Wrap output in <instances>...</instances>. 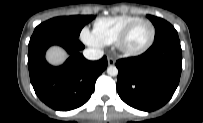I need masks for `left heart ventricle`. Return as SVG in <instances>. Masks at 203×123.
Returning <instances> with one entry per match:
<instances>
[{
  "instance_id": "b2bd125f",
  "label": "left heart ventricle",
  "mask_w": 203,
  "mask_h": 123,
  "mask_svg": "<svg viewBox=\"0 0 203 123\" xmlns=\"http://www.w3.org/2000/svg\"><path fill=\"white\" fill-rule=\"evenodd\" d=\"M151 37V27L148 23L137 24L129 34L125 47L130 50L140 49L147 44Z\"/></svg>"
}]
</instances>
